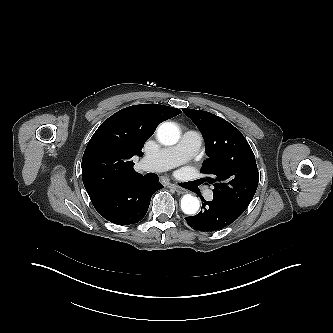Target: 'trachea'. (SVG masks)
<instances>
[{
	"mask_svg": "<svg viewBox=\"0 0 333 333\" xmlns=\"http://www.w3.org/2000/svg\"><path fill=\"white\" fill-rule=\"evenodd\" d=\"M149 174H151V173H149ZM149 178H153V177H151L150 175L148 176Z\"/></svg>",
	"mask_w": 333,
	"mask_h": 333,
	"instance_id": "obj_1",
	"label": "trachea"
}]
</instances>
